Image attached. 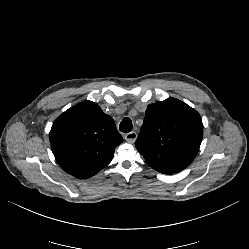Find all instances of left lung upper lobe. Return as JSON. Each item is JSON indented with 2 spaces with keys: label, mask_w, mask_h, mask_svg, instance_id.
Returning <instances> with one entry per match:
<instances>
[{
  "label": "left lung upper lobe",
  "mask_w": 249,
  "mask_h": 249,
  "mask_svg": "<svg viewBox=\"0 0 249 249\" xmlns=\"http://www.w3.org/2000/svg\"><path fill=\"white\" fill-rule=\"evenodd\" d=\"M202 137L199 113L178 99L168 98L147 107L135 145L153 169L172 174L191 164Z\"/></svg>",
  "instance_id": "obj_1"
}]
</instances>
